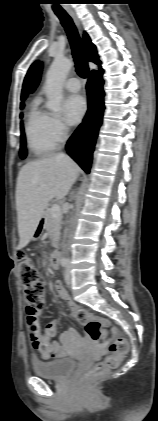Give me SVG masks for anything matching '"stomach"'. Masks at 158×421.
I'll return each instance as SVG.
<instances>
[{"label":"stomach","instance_id":"0dacf381","mask_svg":"<svg viewBox=\"0 0 158 421\" xmlns=\"http://www.w3.org/2000/svg\"><path fill=\"white\" fill-rule=\"evenodd\" d=\"M42 230H43V223L40 220V222H39V224H38V226H37V228H36V230H35L32 238H37L40 235V233L42 232Z\"/></svg>","mask_w":158,"mask_h":421}]
</instances>
